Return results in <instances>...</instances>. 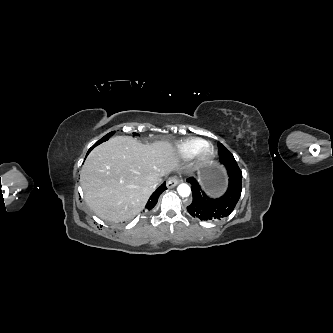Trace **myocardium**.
<instances>
[{
  "label": "myocardium",
  "instance_id": "myocardium-1",
  "mask_svg": "<svg viewBox=\"0 0 333 333\" xmlns=\"http://www.w3.org/2000/svg\"><path fill=\"white\" fill-rule=\"evenodd\" d=\"M216 157V150L211 145H206L197 155V160L200 164H206L214 160Z\"/></svg>",
  "mask_w": 333,
  "mask_h": 333
}]
</instances>
